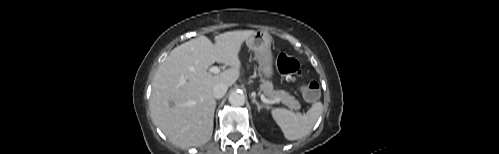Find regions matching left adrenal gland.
I'll list each match as a JSON object with an SVG mask.
<instances>
[{"instance_id": "1", "label": "left adrenal gland", "mask_w": 499, "mask_h": 154, "mask_svg": "<svg viewBox=\"0 0 499 154\" xmlns=\"http://www.w3.org/2000/svg\"><path fill=\"white\" fill-rule=\"evenodd\" d=\"M252 102H253V103H255V104L257 105V109H258V111H260L262 108H268V107H267V106H265V105H261V104H259V103L256 101V99H255L254 97H252Z\"/></svg>"}]
</instances>
